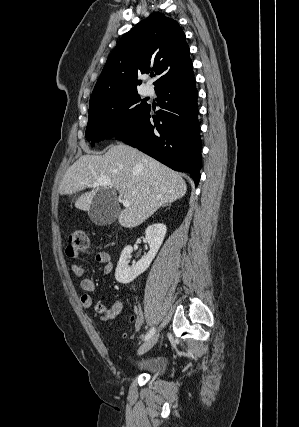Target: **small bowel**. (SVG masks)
Here are the masks:
<instances>
[{"label":"small bowel","instance_id":"obj_1","mask_svg":"<svg viewBox=\"0 0 299 427\" xmlns=\"http://www.w3.org/2000/svg\"><path fill=\"white\" fill-rule=\"evenodd\" d=\"M96 261L102 265V271L104 274H109L113 270V264L110 260V255L106 252H100L95 257ZM71 271L74 275L77 277H83L85 274L84 268L79 263H72L71 264ZM81 287L84 291L90 292L93 291L95 288V282L92 278L85 277L81 281ZM81 305L84 308H91L93 306V298L90 294L85 293L80 298ZM123 309V302L117 301L115 302L101 317L102 321H109L114 318H116ZM134 327L137 331L141 330L142 328V316H141V309L139 307H135L134 309Z\"/></svg>","mask_w":299,"mask_h":427}]
</instances>
